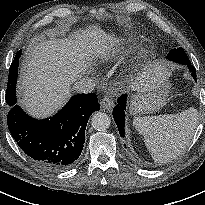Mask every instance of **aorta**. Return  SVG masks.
<instances>
[{"label": "aorta", "instance_id": "obj_1", "mask_svg": "<svg viewBox=\"0 0 205 205\" xmlns=\"http://www.w3.org/2000/svg\"><path fill=\"white\" fill-rule=\"evenodd\" d=\"M91 123L94 129L105 131L110 127L111 119L106 113L97 112L92 116Z\"/></svg>", "mask_w": 205, "mask_h": 205}]
</instances>
